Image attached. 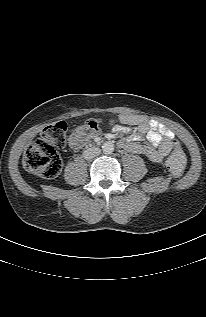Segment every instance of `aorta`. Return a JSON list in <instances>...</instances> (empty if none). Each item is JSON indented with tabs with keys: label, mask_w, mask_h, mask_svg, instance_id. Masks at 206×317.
I'll return each mask as SVG.
<instances>
[{
	"label": "aorta",
	"mask_w": 206,
	"mask_h": 317,
	"mask_svg": "<svg viewBox=\"0 0 206 317\" xmlns=\"http://www.w3.org/2000/svg\"><path fill=\"white\" fill-rule=\"evenodd\" d=\"M102 150L105 154H111L114 151V144L107 141L102 145Z\"/></svg>",
	"instance_id": "obj_1"
}]
</instances>
